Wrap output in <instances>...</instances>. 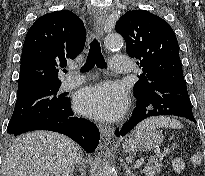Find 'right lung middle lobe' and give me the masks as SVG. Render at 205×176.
<instances>
[{"mask_svg": "<svg viewBox=\"0 0 205 176\" xmlns=\"http://www.w3.org/2000/svg\"><path fill=\"white\" fill-rule=\"evenodd\" d=\"M59 87L60 85H56L17 96L7 133H15L52 105L63 104L67 98L57 94Z\"/></svg>", "mask_w": 205, "mask_h": 176, "instance_id": "right-lung-middle-lobe-1", "label": "right lung middle lobe"}]
</instances>
